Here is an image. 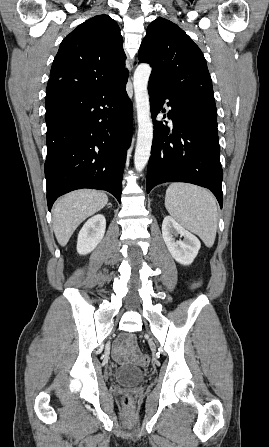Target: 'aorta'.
<instances>
[{
    "label": "aorta",
    "instance_id": "aorta-1",
    "mask_svg": "<svg viewBox=\"0 0 269 447\" xmlns=\"http://www.w3.org/2000/svg\"><path fill=\"white\" fill-rule=\"evenodd\" d=\"M151 72L152 68L149 64H139L133 78L138 122L137 144L134 154V164L137 172L144 170L150 158L153 140V124L150 118V102L147 90Z\"/></svg>",
    "mask_w": 269,
    "mask_h": 447
}]
</instances>
